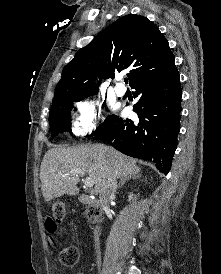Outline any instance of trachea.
Masks as SVG:
<instances>
[{"label": "trachea", "instance_id": "3493384b", "mask_svg": "<svg viewBox=\"0 0 221 274\" xmlns=\"http://www.w3.org/2000/svg\"><path fill=\"white\" fill-rule=\"evenodd\" d=\"M124 82L127 84V83H128V79H127V78H125V79H124Z\"/></svg>", "mask_w": 221, "mask_h": 274}]
</instances>
